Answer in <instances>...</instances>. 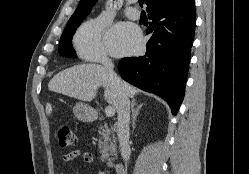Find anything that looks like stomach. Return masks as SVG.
Listing matches in <instances>:
<instances>
[{
    "label": "stomach",
    "instance_id": "stomach-1",
    "mask_svg": "<svg viewBox=\"0 0 249 174\" xmlns=\"http://www.w3.org/2000/svg\"><path fill=\"white\" fill-rule=\"evenodd\" d=\"M73 112L77 119L83 122H89L93 118V109L85 103H76L73 108Z\"/></svg>",
    "mask_w": 249,
    "mask_h": 174
}]
</instances>
